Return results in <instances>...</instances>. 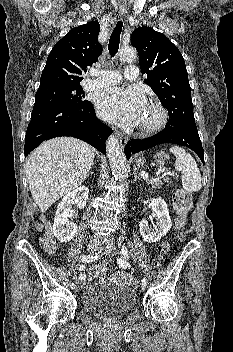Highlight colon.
<instances>
[{
  "label": "colon",
  "instance_id": "1",
  "mask_svg": "<svg viewBox=\"0 0 233 352\" xmlns=\"http://www.w3.org/2000/svg\"><path fill=\"white\" fill-rule=\"evenodd\" d=\"M167 160V156L161 154L159 156V164L163 170L164 163ZM192 207V197L189 192L182 188L175 190L173 194V209L175 212L174 224L177 229H183L187 225L188 213ZM42 246L47 252L52 253L55 250V242L52 239L51 233L48 231L45 237L42 239ZM168 244L166 242L162 243L159 247V260L157 265H159L161 259L168 251ZM108 263H99L90 269V279H99L108 270Z\"/></svg>",
  "mask_w": 233,
  "mask_h": 352
}]
</instances>
